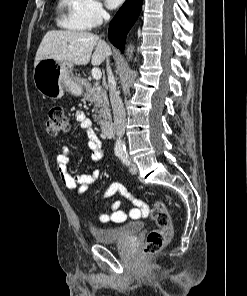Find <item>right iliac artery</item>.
<instances>
[{
  "label": "right iliac artery",
  "instance_id": "82829eb1",
  "mask_svg": "<svg viewBox=\"0 0 247 296\" xmlns=\"http://www.w3.org/2000/svg\"><path fill=\"white\" fill-rule=\"evenodd\" d=\"M119 154H120V152H117V153H116V155H118V156H119Z\"/></svg>",
  "mask_w": 247,
  "mask_h": 296
}]
</instances>
